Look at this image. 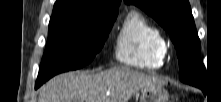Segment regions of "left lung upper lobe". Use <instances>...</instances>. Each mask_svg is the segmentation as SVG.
<instances>
[{
  "mask_svg": "<svg viewBox=\"0 0 221 102\" xmlns=\"http://www.w3.org/2000/svg\"><path fill=\"white\" fill-rule=\"evenodd\" d=\"M152 16L169 34L179 59L180 80L205 87L206 70L200 60V40L188 0H125Z\"/></svg>",
  "mask_w": 221,
  "mask_h": 102,
  "instance_id": "left-lung-upper-lobe-1",
  "label": "left lung upper lobe"
}]
</instances>
